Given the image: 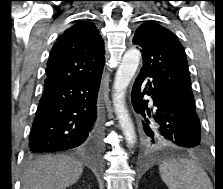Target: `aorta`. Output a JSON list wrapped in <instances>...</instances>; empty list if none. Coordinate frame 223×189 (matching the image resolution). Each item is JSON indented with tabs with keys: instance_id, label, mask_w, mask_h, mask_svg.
Here are the masks:
<instances>
[{
	"instance_id": "1",
	"label": "aorta",
	"mask_w": 223,
	"mask_h": 189,
	"mask_svg": "<svg viewBox=\"0 0 223 189\" xmlns=\"http://www.w3.org/2000/svg\"><path fill=\"white\" fill-rule=\"evenodd\" d=\"M141 59V53L136 48L125 52L117 69L113 84V105L119 124L125 136L128 146L132 147L136 142V132L125 106L126 89L134 77Z\"/></svg>"
}]
</instances>
